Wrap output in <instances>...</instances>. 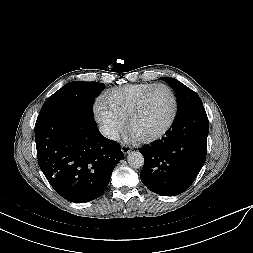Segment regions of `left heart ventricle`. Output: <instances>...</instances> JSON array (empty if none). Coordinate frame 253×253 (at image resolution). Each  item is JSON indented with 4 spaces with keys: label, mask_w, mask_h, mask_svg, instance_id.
Returning a JSON list of instances; mask_svg holds the SVG:
<instances>
[{
    "label": "left heart ventricle",
    "mask_w": 253,
    "mask_h": 253,
    "mask_svg": "<svg viewBox=\"0 0 253 253\" xmlns=\"http://www.w3.org/2000/svg\"><path fill=\"white\" fill-rule=\"evenodd\" d=\"M173 109L169 91L158 87L150 92L145 104L131 126V132L136 136L154 134L165 127Z\"/></svg>",
    "instance_id": "left-heart-ventricle-1"
}]
</instances>
